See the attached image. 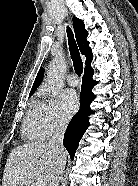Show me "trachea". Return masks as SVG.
<instances>
[{
  "mask_svg": "<svg viewBox=\"0 0 138 186\" xmlns=\"http://www.w3.org/2000/svg\"><path fill=\"white\" fill-rule=\"evenodd\" d=\"M67 36H68L70 55H71V59L73 61V66H74L75 72L77 73L78 76H81V74L83 72V62L81 60L78 47H77L76 42L74 40L72 30L69 27H67Z\"/></svg>",
  "mask_w": 138,
  "mask_h": 186,
  "instance_id": "3493384b",
  "label": "trachea"
}]
</instances>
